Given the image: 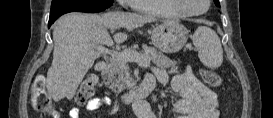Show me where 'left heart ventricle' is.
Instances as JSON below:
<instances>
[{
    "label": "left heart ventricle",
    "mask_w": 273,
    "mask_h": 118,
    "mask_svg": "<svg viewBox=\"0 0 273 118\" xmlns=\"http://www.w3.org/2000/svg\"><path fill=\"white\" fill-rule=\"evenodd\" d=\"M188 8L193 11H201L205 8L203 0H187Z\"/></svg>",
    "instance_id": "1"
}]
</instances>
